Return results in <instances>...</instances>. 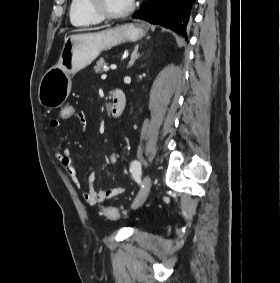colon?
<instances>
[{
  "instance_id": "colon-1",
  "label": "colon",
  "mask_w": 280,
  "mask_h": 283,
  "mask_svg": "<svg viewBox=\"0 0 280 283\" xmlns=\"http://www.w3.org/2000/svg\"><path fill=\"white\" fill-rule=\"evenodd\" d=\"M74 112H77V107L73 103H64L62 107L59 108L58 119H63L67 122L68 119H72ZM120 209L117 207H107L104 209V216L106 219L115 221L120 217Z\"/></svg>"
}]
</instances>
